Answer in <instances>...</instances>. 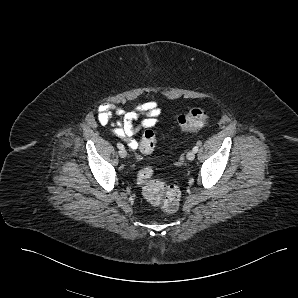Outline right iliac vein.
I'll return each instance as SVG.
<instances>
[{"label":"right iliac vein","instance_id":"right-iliac-vein-1","mask_svg":"<svg viewBox=\"0 0 298 298\" xmlns=\"http://www.w3.org/2000/svg\"><path fill=\"white\" fill-rule=\"evenodd\" d=\"M119 156H120L121 158H125V157L127 156V152H126V150H125V149H120V150H119Z\"/></svg>","mask_w":298,"mask_h":298}]
</instances>
